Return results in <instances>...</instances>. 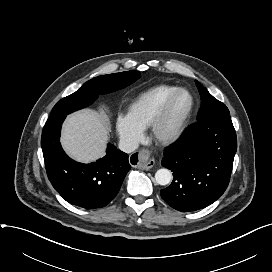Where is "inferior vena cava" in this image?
Returning <instances> with one entry per match:
<instances>
[{
    "instance_id": "obj_1",
    "label": "inferior vena cava",
    "mask_w": 272,
    "mask_h": 272,
    "mask_svg": "<svg viewBox=\"0 0 272 272\" xmlns=\"http://www.w3.org/2000/svg\"><path fill=\"white\" fill-rule=\"evenodd\" d=\"M138 148V143L132 140L122 139L119 141V149L125 153H131Z\"/></svg>"
}]
</instances>
